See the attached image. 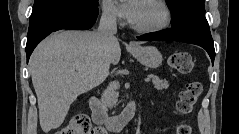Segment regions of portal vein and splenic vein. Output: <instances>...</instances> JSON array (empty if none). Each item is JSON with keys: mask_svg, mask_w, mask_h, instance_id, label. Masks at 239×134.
Wrapping results in <instances>:
<instances>
[{"mask_svg": "<svg viewBox=\"0 0 239 134\" xmlns=\"http://www.w3.org/2000/svg\"><path fill=\"white\" fill-rule=\"evenodd\" d=\"M144 81H145V82H149V81H150V78H145Z\"/></svg>", "mask_w": 239, "mask_h": 134, "instance_id": "18ae733b", "label": "portal vein and splenic vein"}]
</instances>
